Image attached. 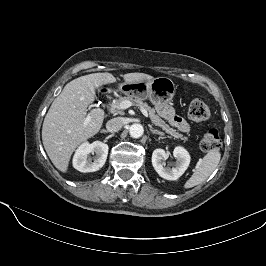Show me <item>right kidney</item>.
I'll list each match as a JSON object with an SVG mask.
<instances>
[{
  "label": "right kidney",
  "mask_w": 266,
  "mask_h": 266,
  "mask_svg": "<svg viewBox=\"0 0 266 266\" xmlns=\"http://www.w3.org/2000/svg\"><path fill=\"white\" fill-rule=\"evenodd\" d=\"M108 149V145L101 141H95L91 144L82 143L73 157L74 168L84 173L99 170L106 162ZM90 153L95 154L93 161L90 158Z\"/></svg>",
  "instance_id": "right-kidney-1"
}]
</instances>
